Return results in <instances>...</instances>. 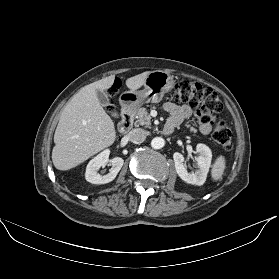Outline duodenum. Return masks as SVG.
<instances>
[{
  "instance_id": "duodenum-1",
  "label": "duodenum",
  "mask_w": 279,
  "mask_h": 279,
  "mask_svg": "<svg viewBox=\"0 0 279 279\" xmlns=\"http://www.w3.org/2000/svg\"><path fill=\"white\" fill-rule=\"evenodd\" d=\"M133 124V111L132 109L126 108L122 114V118L119 122L118 128L121 133H127ZM170 132H164L165 134H169Z\"/></svg>"
}]
</instances>
